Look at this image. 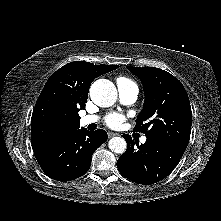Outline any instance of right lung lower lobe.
Here are the masks:
<instances>
[{
    "label": "right lung lower lobe",
    "instance_id": "right-lung-lower-lobe-1",
    "mask_svg": "<svg viewBox=\"0 0 221 221\" xmlns=\"http://www.w3.org/2000/svg\"><path fill=\"white\" fill-rule=\"evenodd\" d=\"M107 140L105 130L76 129L53 144L34 151L44 173L57 181L84 175L91 166L93 152Z\"/></svg>",
    "mask_w": 221,
    "mask_h": 221
}]
</instances>
